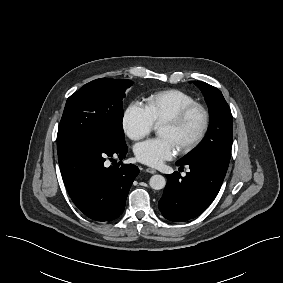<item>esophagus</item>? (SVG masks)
<instances>
[{"label":"esophagus","mask_w":283,"mask_h":283,"mask_svg":"<svg viewBox=\"0 0 283 283\" xmlns=\"http://www.w3.org/2000/svg\"><path fill=\"white\" fill-rule=\"evenodd\" d=\"M146 172H147V173H150V174H155V173H157V171H156L155 169H153V168H146Z\"/></svg>","instance_id":"34e87169"}]
</instances>
